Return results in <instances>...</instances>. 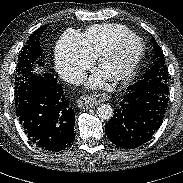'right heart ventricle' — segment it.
<instances>
[{"label": "right heart ventricle", "mask_w": 183, "mask_h": 183, "mask_svg": "<svg viewBox=\"0 0 183 183\" xmlns=\"http://www.w3.org/2000/svg\"><path fill=\"white\" fill-rule=\"evenodd\" d=\"M133 36L131 30L119 24L95 25L81 36V43L91 57H99L120 40Z\"/></svg>", "instance_id": "obj_1"}]
</instances>
